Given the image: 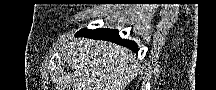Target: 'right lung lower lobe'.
I'll list each match as a JSON object with an SVG mask.
<instances>
[{
	"label": "right lung lower lobe",
	"instance_id": "obj_1",
	"mask_svg": "<svg viewBox=\"0 0 216 90\" xmlns=\"http://www.w3.org/2000/svg\"><path fill=\"white\" fill-rule=\"evenodd\" d=\"M76 36H84L87 38H93L95 40H108L116 44H120L138 52L137 44L130 40L120 38L117 30L112 29H95L89 30L87 28L77 32Z\"/></svg>",
	"mask_w": 216,
	"mask_h": 90
}]
</instances>
